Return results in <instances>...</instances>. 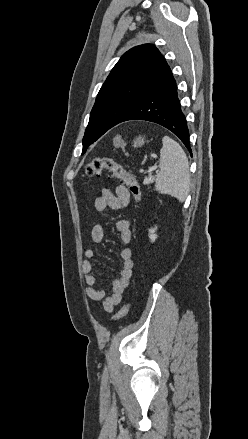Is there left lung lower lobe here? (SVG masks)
Masks as SVG:
<instances>
[{
  "label": "left lung lower lobe",
  "instance_id": "0a47b994",
  "mask_svg": "<svg viewBox=\"0 0 248 439\" xmlns=\"http://www.w3.org/2000/svg\"><path fill=\"white\" fill-rule=\"evenodd\" d=\"M129 120L150 121L169 129L192 154L186 118L181 110L176 81L169 66L119 123Z\"/></svg>",
  "mask_w": 248,
  "mask_h": 439
}]
</instances>
